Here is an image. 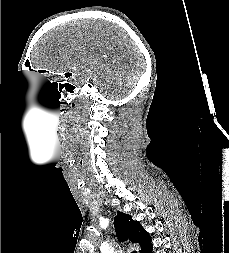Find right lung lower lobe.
<instances>
[{
    "mask_svg": "<svg viewBox=\"0 0 229 253\" xmlns=\"http://www.w3.org/2000/svg\"><path fill=\"white\" fill-rule=\"evenodd\" d=\"M142 253H152V245L150 244Z\"/></svg>",
    "mask_w": 229,
    "mask_h": 253,
    "instance_id": "right-lung-lower-lobe-1",
    "label": "right lung lower lobe"
}]
</instances>
